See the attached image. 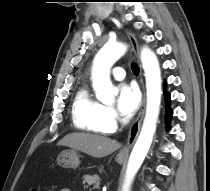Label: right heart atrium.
Masks as SVG:
<instances>
[{
	"label": "right heart atrium",
	"mask_w": 210,
	"mask_h": 191,
	"mask_svg": "<svg viewBox=\"0 0 210 191\" xmlns=\"http://www.w3.org/2000/svg\"><path fill=\"white\" fill-rule=\"evenodd\" d=\"M108 118L111 122H114L117 119V114L115 110L111 107H107Z\"/></svg>",
	"instance_id": "obj_1"
}]
</instances>
